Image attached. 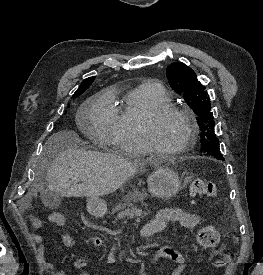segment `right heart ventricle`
I'll return each instance as SVG.
<instances>
[{"label":"right heart ventricle","instance_id":"e07e8e85","mask_svg":"<svg viewBox=\"0 0 263 275\" xmlns=\"http://www.w3.org/2000/svg\"><path fill=\"white\" fill-rule=\"evenodd\" d=\"M167 104V94L156 83H142L127 91L122 105L113 110L112 132L116 148L131 156L151 153L143 137V121L150 111Z\"/></svg>","mask_w":263,"mask_h":275}]
</instances>
